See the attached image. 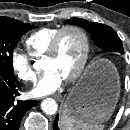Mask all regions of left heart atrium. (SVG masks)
<instances>
[{"label":"left heart atrium","instance_id":"left-heart-atrium-1","mask_svg":"<svg viewBox=\"0 0 130 130\" xmlns=\"http://www.w3.org/2000/svg\"><path fill=\"white\" fill-rule=\"evenodd\" d=\"M63 81L64 78L57 71L49 70L34 85L30 94L33 97L49 95L57 91L61 87Z\"/></svg>","mask_w":130,"mask_h":130}]
</instances>
